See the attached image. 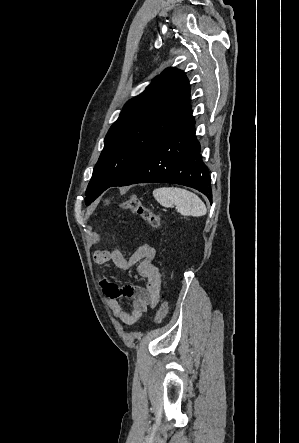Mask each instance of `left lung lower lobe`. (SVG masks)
Here are the masks:
<instances>
[{
	"mask_svg": "<svg viewBox=\"0 0 299 443\" xmlns=\"http://www.w3.org/2000/svg\"><path fill=\"white\" fill-rule=\"evenodd\" d=\"M192 113L153 145L113 186L175 183L212 197L208 168L200 156Z\"/></svg>",
	"mask_w": 299,
	"mask_h": 443,
	"instance_id": "obj_1",
	"label": "left lung lower lobe"
}]
</instances>
